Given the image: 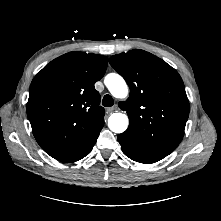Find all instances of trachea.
Segmentation results:
<instances>
[{"mask_svg":"<svg viewBox=\"0 0 221 221\" xmlns=\"http://www.w3.org/2000/svg\"><path fill=\"white\" fill-rule=\"evenodd\" d=\"M102 104L105 107H111L114 104V100L111 95H105L102 100Z\"/></svg>","mask_w":221,"mask_h":221,"instance_id":"1","label":"trachea"}]
</instances>
